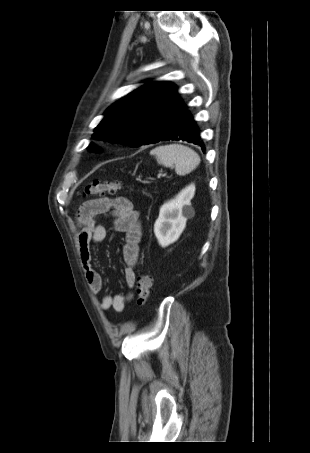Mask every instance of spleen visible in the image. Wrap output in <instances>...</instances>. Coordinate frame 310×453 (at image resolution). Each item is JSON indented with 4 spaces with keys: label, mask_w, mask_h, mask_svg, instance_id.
<instances>
[{
    "label": "spleen",
    "mask_w": 310,
    "mask_h": 453,
    "mask_svg": "<svg viewBox=\"0 0 310 453\" xmlns=\"http://www.w3.org/2000/svg\"><path fill=\"white\" fill-rule=\"evenodd\" d=\"M157 162L165 167H175L178 175L192 172L200 163V156L188 146L181 144H169L159 146L151 150Z\"/></svg>",
    "instance_id": "3e777b00"
}]
</instances>
